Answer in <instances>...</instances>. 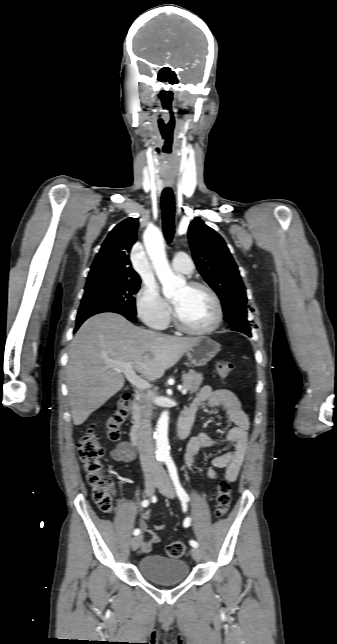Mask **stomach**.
I'll list each match as a JSON object with an SVG mask.
<instances>
[{"label": "stomach", "mask_w": 337, "mask_h": 644, "mask_svg": "<svg viewBox=\"0 0 337 644\" xmlns=\"http://www.w3.org/2000/svg\"><path fill=\"white\" fill-rule=\"evenodd\" d=\"M221 346L218 342L207 336L198 337L193 347L187 350L186 355L194 366L206 365L220 351Z\"/></svg>", "instance_id": "1"}]
</instances>
